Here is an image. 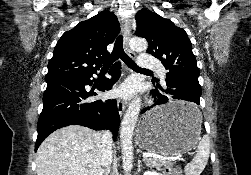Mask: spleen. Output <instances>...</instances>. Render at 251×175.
<instances>
[{"label": "spleen", "mask_w": 251, "mask_h": 175, "mask_svg": "<svg viewBox=\"0 0 251 175\" xmlns=\"http://www.w3.org/2000/svg\"><path fill=\"white\" fill-rule=\"evenodd\" d=\"M195 115H201L199 109H195ZM210 153V139L209 135H203L197 145V153L193 157L191 163H188L185 167L186 175H200L203 171L206 163H208V157Z\"/></svg>", "instance_id": "1"}]
</instances>
